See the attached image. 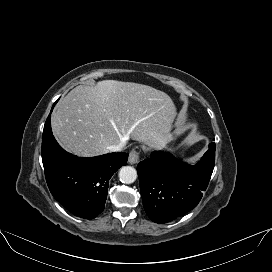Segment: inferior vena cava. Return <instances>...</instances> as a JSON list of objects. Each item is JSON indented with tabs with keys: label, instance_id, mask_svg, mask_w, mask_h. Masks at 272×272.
<instances>
[{
	"label": "inferior vena cava",
	"instance_id": "inferior-vena-cava-1",
	"mask_svg": "<svg viewBox=\"0 0 272 272\" xmlns=\"http://www.w3.org/2000/svg\"><path fill=\"white\" fill-rule=\"evenodd\" d=\"M124 147H125L124 143H119V144H116V145L109 146L108 149L111 152H119V151L123 150Z\"/></svg>",
	"mask_w": 272,
	"mask_h": 272
}]
</instances>
